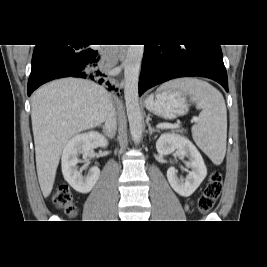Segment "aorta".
I'll return each instance as SVG.
<instances>
[{"mask_svg":"<svg viewBox=\"0 0 267 267\" xmlns=\"http://www.w3.org/2000/svg\"><path fill=\"white\" fill-rule=\"evenodd\" d=\"M144 53V45H129L124 61V96L132 138L136 144L142 137V114L139 106V71Z\"/></svg>","mask_w":267,"mask_h":267,"instance_id":"obj_1","label":"aorta"}]
</instances>
